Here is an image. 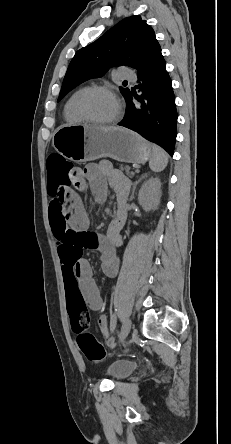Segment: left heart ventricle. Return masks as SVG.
<instances>
[{
    "instance_id": "b2bd125f",
    "label": "left heart ventricle",
    "mask_w": 231,
    "mask_h": 444,
    "mask_svg": "<svg viewBox=\"0 0 231 444\" xmlns=\"http://www.w3.org/2000/svg\"><path fill=\"white\" fill-rule=\"evenodd\" d=\"M84 109L92 119L104 121L112 118L116 114L117 104L110 94L94 92L86 98Z\"/></svg>"
}]
</instances>
